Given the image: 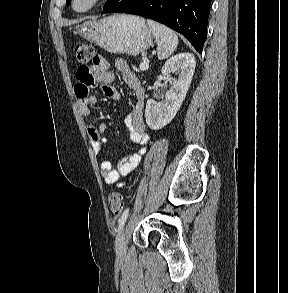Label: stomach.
Instances as JSON below:
<instances>
[{
    "instance_id": "obj_1",
    "label": "stomach",
    "mask_w": 288,
    "mask_h": 293,
    "mask_svg": "<svg viewBox=\"0 0 288 293\" xmlns=\"http://www.w3.org/2000/svg\"><path fill=\"white\" fill-rule=\"evenodd\" d=\"M76 28L80 36L112 53L136 56L153 42V33L145 20L133 15L115 14L86 21Z\"/></svg>"
}]
</instances>
